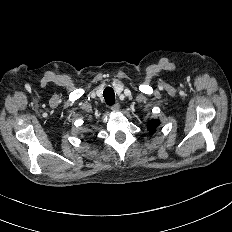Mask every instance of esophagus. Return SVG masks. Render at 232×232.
<instances>
[{
  "label": "esophagus",
  "mask_w": 232,
  "mask_h": 232,
  "mask_svg": "<svg viewBox=\"0 0 232 232\" xmlns=\"http://www.w3.org/2000/svg\"><path fill=\"white\" fill-rule=\"evenodd\" d=\"M120 109V104L117 102L111 106L112 111H118Z\"/></svg>",
  "instance_id": "obj_1"
}]
</instances>
